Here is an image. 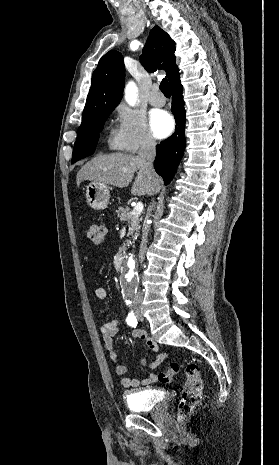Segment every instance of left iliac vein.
<instances>
[{"mask_svg":"<svg viewBox=\"0 0 279 465\" xmlns=\"http://www.w3.org/2000/svg\"><path fill=\"white\" fill-rule=\"evenodd\" d=\"M137 317H138V320H139V321H142V320H143V316H142V314H141V313H140V314H138V315H137Z\"/></svg>","mask_w":279,"mask_h":465,"instance_id":"left-iliac-vein-1","label":"left iliac vein"}]
</instances>
